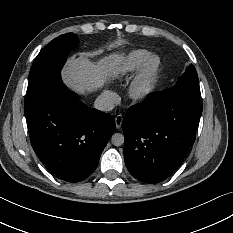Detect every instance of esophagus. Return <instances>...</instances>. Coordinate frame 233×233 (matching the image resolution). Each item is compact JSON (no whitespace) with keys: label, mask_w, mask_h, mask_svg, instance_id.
Here are the masks:
<instances>
[{"label":"esophagus","mask_w":233,"mask_h":233,"mask_svg":"<svg viewBox=\"0 0 233 233\" xmlns=\"http://www.w3.org/2000/svg\"><path fill=\"white\" fill-rule=\"evenodd\" d=\"M122 121H123V116H122V115H117V116L115 117V125H116V128H120V127H121Z\"/></svg>","instance_id":"34e87169"}]
</instances>
